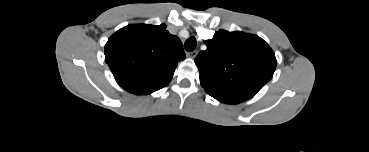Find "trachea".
<instances>
[{
	"instance_id": "trachea-1",
	"label": "trachea",
	"mask_w": 369,
	"mask_h": 152,
	"mask_svg": "<svg viewBox=\"0 0 369 152\" xmlns=\"http://www.w3.org/2000/svg\"><path fill=\"white\" fill-rule=\"evenodd\" d=\"M196 46H197V42H196V39L194 37L188 38L186 40V42L184 43V48L188 52L194 51Z\"/></svg>"
}]
</instances>
